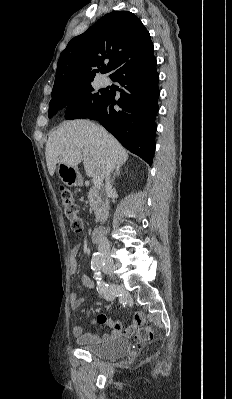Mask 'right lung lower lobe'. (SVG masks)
<instances>
[{
	"mask_svg": "<svg viewBox=\"0 0 232 399\" xmlns=\"http://www.w3.org/2000/svg\"><path fill=\"white\" fill-rule=\"evenodd\" d=\"M120 84V98L106 92L100 105L75 118L99 121L129 151L152 164L155 152V115L158 112L159 75L153 52L119 68L111 77ZM118 105L121 110L114 109Z\"/></svg>",
	"mask_w": 232,
	"mask_h": 399,
	"instance_id": "1",
	"label": "right lung lower lobe"
}]
</instances>
